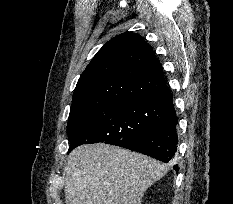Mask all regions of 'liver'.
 Wrapping results in <instances>:
<instances>
[{
  "label": "liver",
  "instance_id": "6515ba94",
  "mask_svg": "<svg viewBox=\"0 0 233 204\" xmlns=\"http://www.w3.org/2000/svg\"><path fill=\"white\" fill-rule=\"evenodd\" d=\"M65 170L66 204H141L168 168L140 153L95 143L75 148Z\"/></svg>",
  "mask_w": 233,
  "mask_h": 204
}]
</instances>
